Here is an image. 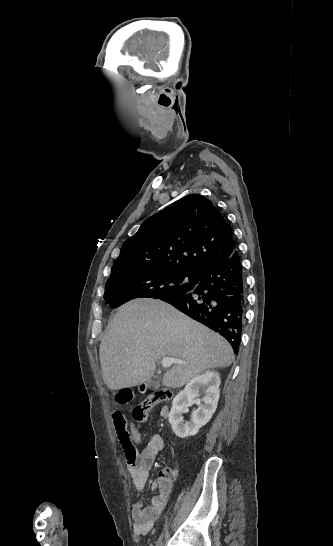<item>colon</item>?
Listing matches in <instances>:
<instances>
[{
  "mask_svg": "<svg viewBox=\"0 0 333 546\" xmlns=\"http://www.w3.org/2000/svg\"><path fill=\"white\" fill-rule=\"evenodd\" d=\"M172 397L171 391L167 389H160L148 398L143 400L139 405L134 408V418L136 421L143 423L147 420L149 410L157 403L169 400ZM132 400V393L129 391L121 392L117 395V401L120 404H127ZM112 421L118 442L123 449V452L128 459H133L137 455V448L131 439V436L127 430V423L124 415L115 411L112 414Z\"/></svg>",
  "mask_w": 333,
  "mask_h": 546,
  "instance_id": "1",
  "label": "colon"
}]
</instances>
